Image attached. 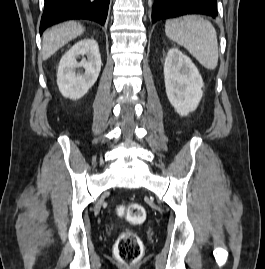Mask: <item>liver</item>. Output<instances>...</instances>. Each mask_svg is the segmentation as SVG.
Segmentation results:
<instances>
[{
  "mask_svg": "<svg viewBox=\"0 0 265 269\" xmlns=\"http://www.w3.org/2000/svg\"><path fill=\"white\" fill-rule=\"evenodd\" d=\"M85 31L84 27L75 21L54 26L43 34L42 58L47 60L62 46L78 37Z\"/></svg>",
  "mask_w": 265,
  "mask_h": 269,
  "instance_id": "liver-1",
  "label": "liver"
}]
</instances>
